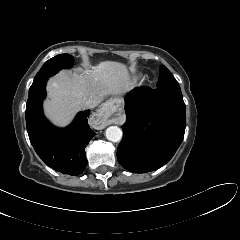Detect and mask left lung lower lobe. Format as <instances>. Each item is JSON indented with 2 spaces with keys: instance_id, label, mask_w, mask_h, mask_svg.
<instances>
[{
  "instance_id": "0a47b994",
  "label": "left lung lower lobe",
  "mask_w": 240,
  "mask_h": 240,
  "mask_svg": "<svg viewBox=\"0 0 240 240\" xmlns=\"http://www.w3.org/2000/svg\"><path fill=\"white\" fill-rule=\"evenodd\" d=\"M124 136L117 159L134 173L154 171L166 164L180 146L186 127L180 87L136 88L126 97ZM153 125L146 127L147 117Z\"/></svg>"
}]
</instances>
